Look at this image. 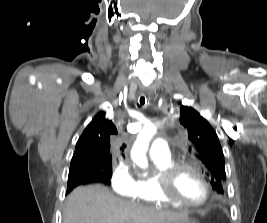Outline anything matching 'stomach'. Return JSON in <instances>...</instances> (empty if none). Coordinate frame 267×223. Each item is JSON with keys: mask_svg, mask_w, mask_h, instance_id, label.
I'll use <instances>...</instances> for the list:
<instances>
[{"mask_svg": "<svg viewBox=\"0 0 267 223\" xmlns=\"http://www.w3.org/2000/svg\"><path fill=\"white\" fill-rule=\"evenodd\" d=\"M174 223H196L194 221H190L188 218L184 221H177V222H174Z\"/></svg>", "mask_w": 267, "mask_h": 223, "instance_id": "stomach-1", "label": "stomach"}]
</instances>
